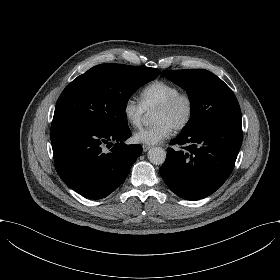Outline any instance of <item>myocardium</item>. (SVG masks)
Listing matches in <instances>:
<instances>
[{
  "instance_id": "f54148a6",
  "label": "myocardium",
  "mask_w": 280,
  "mask_h": 280,
  "mask_svg": "<svg viewBox=\"0 0 280 280\" xmlns=\"http://www.w3.org/2000/svg\"><path fill=\"white\" fill-rule=\"evenodd\" d=\"M185 101L187 104V113L185 117L175 125L176 130H183L190 126L196 113V102L193 95L187 91H179L177 94L168 100L159 104L156 109L170 110L173 109L179 102Z\"/></svg>"
}]
</instances>
